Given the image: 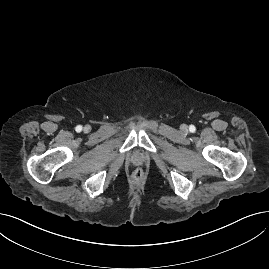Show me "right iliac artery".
<instances>
[{"mask_svg":"<svg viewBox=\"0 0 269 269\" xmlns=\"http://www.w3.org/2000/svg\"><path fill=\"white\" fill-rule=\"evenodd\" d=\"M75 130H76L77 132H81V130H82V126H81V125H78V126L75 128Z\"/></svg>","mask_w":269,"mask_h":269,"instance_id":"right-iliac-artery-1","label":"right iliac artery"}]
</instances>
